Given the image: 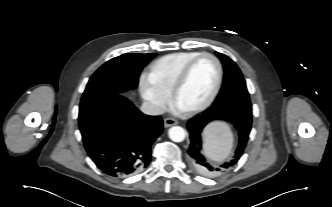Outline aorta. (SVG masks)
<instances>
[{
	"instance_id": "obj_1",
	"label": "aorta",
	"mask_w": 332,
	"mask_h": 207,
	"mask_svg": "<svg viewBox=\"0 0 332 207\" xmlns=\"http://www.w3.org/2000/svg\"><path fill=\"white\" fill-rule=\"evenodd\" d=\"M169 138L174 142H182L185 139L186 132L180 126H173L168 131Z\"/></svg>"
}]
</instances>
